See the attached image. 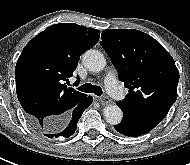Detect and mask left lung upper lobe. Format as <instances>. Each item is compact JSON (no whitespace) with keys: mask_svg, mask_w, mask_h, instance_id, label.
<instances>
[{"mask_svg":"<svg viewBox=\"0 0 190 165\" xmlns=\"http://www.w3.org/2000/svg\"><path fill=\"white\" fill-rule=\"evenodd\" d=\"M100 44L128 94L117 104L167 115L177 98L179 72L172 56L150 35L135 29H109Z\"/></svg>","mask_w":190,"mask_h":165,"instance_id":"obj_1","label":"left lung upper lobe"}]
</instances>
